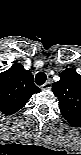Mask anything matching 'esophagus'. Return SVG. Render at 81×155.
Wrapping results in <instances>:
<instances>
[{"instance_id": "obj_1", "label": "esophagus", "mask_w": 81, "mask_h": 155, "mask_svg": "<svg viewBox=\"0 0 81 155\" xmlns=\"http://www.w3.org/2000/svg\"><path fill=\"white\" fill-rule=\"evenodd\" d=\"M52 87V84L50 81H47L46 83H44L42 86H41V89L42 90H50Z\"/></svg>"}]
</instances>
